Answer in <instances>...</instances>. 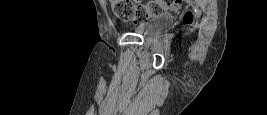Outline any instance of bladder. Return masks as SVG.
<instances>
[{
	"label": "bladder",
	"mask_w": 267,
	"mask_h": 115,
	"mask_svg": "<svg viewBox=\"0 0 267 115\" xmlns=\"http://www.w3.org/2000/svg\"><path fill=\"white\" fill-rule=\"evenodd\" d=\"M173 22L174 19L171 14L161 13L138 24L131 31L138 35L151 37L168 30L173 25Z\"/></svg>",
	"instance_id": "1"
}]
</instances>
